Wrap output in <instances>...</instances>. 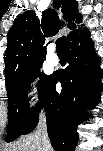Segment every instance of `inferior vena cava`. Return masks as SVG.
Returning a JSON list of instances; mask_svg holds the SVG:
<instances>
[{
  "label": "inferior vena cava",
  "mask_w": 103,
  "mask_h": 151,
  "mask_svg": "<svg viewBox=\"0 0 103 151\" xmlns=\"http://www.w3.org/2000/svg\"><path fill=\"white\" fill-rule=\"evenodd\" d=\"M37 133L42 136L43 145L47 146L49 144V139L46 129V120L44 116L39 120V127Z\"/></svg>",
  "instance_id": "602c4592"
}]
</instances>
